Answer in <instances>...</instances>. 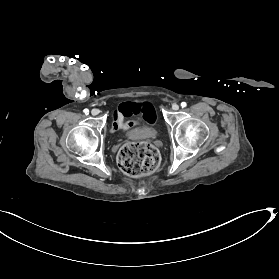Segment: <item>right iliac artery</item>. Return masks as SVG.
<instances>
[{"mask_svg": "<svg viewBox=\"0 0 279 279\" xmlns=\"http://www.w3.org/2000/svg\"><path fill=\"white\" fill-rule=\"evenodd\" d=\"M86 115H88L89 114V110L88 109H84V111H83Z\"/></svg>", "mask_w": 279, "mask_h": 279, "instance_id": "right-iliac-artery-1", "label": "right iliac artery"}]
</instances>
